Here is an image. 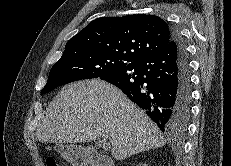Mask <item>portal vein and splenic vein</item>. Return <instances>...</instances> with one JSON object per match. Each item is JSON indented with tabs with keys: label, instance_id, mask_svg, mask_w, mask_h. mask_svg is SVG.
<instances>
[{
	"label": "portal vein and splenic vein",
	"instance_id": "portal-vein-and-splenic-vein-1",
	"mask_svg": "<svg viewBox=\"0 0 231 166\" xmlns=\"http://www.w3.org/2000/svg\"><path fill=\"white\" fill-rule=\"evenodd\" d=\"M99 144L103 147L104 150H109L110 149V143L107 138L105 137H100L98 139Z\"/></svg>",
	"mask_w": 231,
	"mask_h": 166
}]
</instances>
